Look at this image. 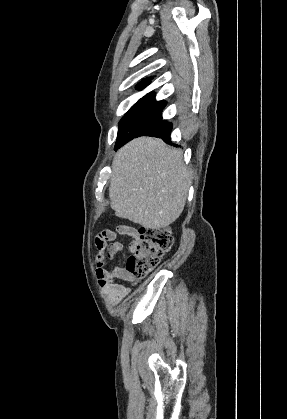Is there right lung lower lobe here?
<instances>
[{"mask_svg":"<svg viewBox=\"0 0 287 419\" xmlns=\"http://www.w3.org/2000/svg\"><path fill=\"white\" fill-rule=\"evenodd\" d=\"M172 131V124L166 120L160 118L158 121L153 123L149 128H147L140 135L136 136H153L163 139L165 142L170 143V135Z\"/></svg>","mask_w":287,"mask_h":419,"instance_id":"1","label":"right lung lower lobe"}]
</instances>
